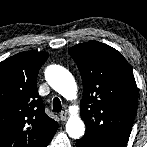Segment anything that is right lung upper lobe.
Here are the masks:
<instances>
[{
  "label": "right lung upper lobe",
  "mask_w": 147,
  "mask_h": 147,
  "mask_svg": "<svg viewBox=\"0 0 147 147\" xmlns=\"http://www.w3.org/2000/svg\"><path fill=\"white\" fill-rule=\"evenodd\" d=\"M47 58V52H26L0 63V147H46L56 133L36 86Z\"/></svg>",
  "instance_id": "1"
}]
</instances>
